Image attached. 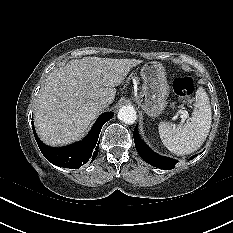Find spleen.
<instances>
[{"instance_id":"obj_1","label":"spleen","mask_w":233,"mask_h":233,"mask_svg":"<svg viewBox=\"0 0 233 233\" xmlns=\"http://www.w3.org/2000/svg\"><path fill=\"white\" fill-rule=\"evenodd\" d=\"M211 122L209 97L204 88L199 87L190 121L184 125L162 121L158 125V130L162 143L169 151L176 155H185L202 146L210 131Z\"/></svg>"}]
</instances>
